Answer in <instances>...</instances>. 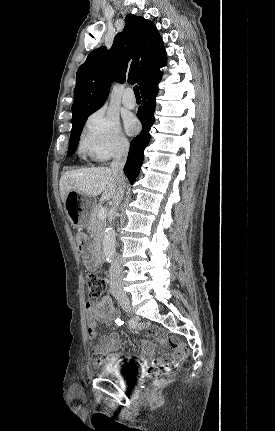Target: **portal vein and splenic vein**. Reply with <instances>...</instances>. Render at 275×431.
Wrapping results in <instances>:
<instances>
[{"label": "portal vein and splenic vein", "instance_id": "obj_1", "mask_svg": "<svg viewBox=\"0 0 275 431\" xmlns=\"http://www.w3.org/2000/svg\"><path fill=\"white\" fill-rule=\"evenodd\" d=\"M106 214H107V209H106V208H104V207H101V208L98 210V214H97V216H98V218H100V219H105V218H106Z\"/></svg>", "mask_w": 275, "mask_h": 431}]
</instances>
